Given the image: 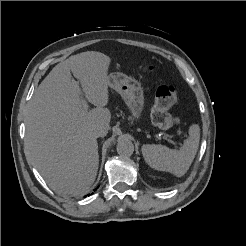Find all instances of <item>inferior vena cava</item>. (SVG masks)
I'll return each instance as SVG.
<instances>
[{"instance_id":"inferior-vena-cava-1","label":"inferior vena cava","mask_w":246,"mask_h":246,"mask_svg":"<svg viewBox=\"0 0 246 246\" xmlns=\"http://www.w3.org/2000/svg\"><path fill=\"white\" fill-rule=\"evenodd\" d=\"M92 133L96 138L101 137L104 135V129L102 127H97L93 129Z\"/></svg>"}]
</instances>
